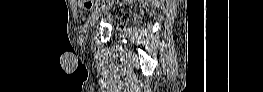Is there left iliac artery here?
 Segmentation results:
<instances>
[{
  "mask_svg": "<svg viewBox=\"0 0 263 92\" xmlns=\"http://www.w3.org/2000/svg\"><path fill=\"white\" fill-rule=\"evenodd\" d=\"M93 5H96V2H93ZM92 9H95V6H92Z\"/></svg>",
  "mask_w": 263,
  "mask_h": 92,
  "instance_id": "obj_1",
  "label": "left iliac artery"
}]
</instances>
